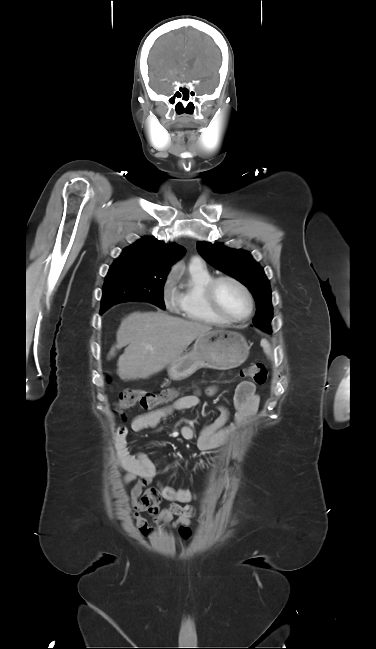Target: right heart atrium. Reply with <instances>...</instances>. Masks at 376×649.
<instances>
[{"mask_svg": "<svg viewBox=\"0 0 376 649\" xmlns=\"http://www.w3.org/2000/svg\"><path fill=\"white\" fill-rule=\"evenodd\" d=\"M174 275L169 273L162 286V298L165 306L169 309H174L176 305V296L173 289Z\"/></svg>", "mask_w": 376, "mask_h": 649, "instance_id": "obj_1", "label": "right heart atrium"}]
</instances>
